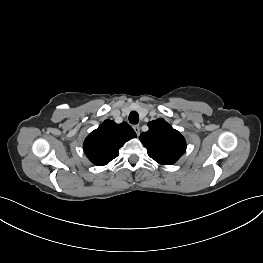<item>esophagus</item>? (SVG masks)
<instances>
[{"label": "esophagus", "mask_w": 263, "mask_h": 263, "mask_svg": "<svg viewBox=\"0 0 263 263\" xmlns=\"http://www.w3.org/2000/svg\"><path fill=\"white\" fill-rule=\"evenodd\" d=\"M133 129L136 132V134L139 136L140 135V127H139V125H134Z\"/></svg>", "instance_id": "34e87169"}]
</instances>
